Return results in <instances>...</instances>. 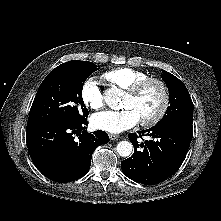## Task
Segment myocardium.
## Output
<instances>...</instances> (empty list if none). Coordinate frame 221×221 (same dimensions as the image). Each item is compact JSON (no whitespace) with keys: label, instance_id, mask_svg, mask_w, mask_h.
<instances>
[{"label":"myocardium","instance_id":"1","mask_svg":"<svg viewBox=\"0 0 221 221\" xmlns=\"http://www.w3.org/2000/svg\"><path fill=\"white\" fill-rule=\"evenodd\" d=\"M150 84H157L162 91V103L159 110L150 118L140 120L143 126H153L163 119L170 104V91L166 82L157 77H147L126 91V94L130 97H137L141 92Z\"/></svg>","mask_w":221,"mask_h":221}]
</instances>
